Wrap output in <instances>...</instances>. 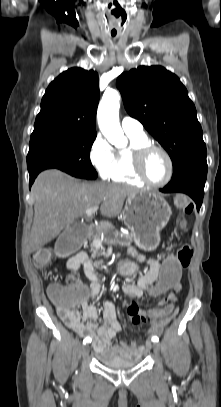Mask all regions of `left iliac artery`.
I'll use <instances>...</instances> for the list:
<instances>
[{
    "label": "left iliac artery",
    "mask_w": 221,
    "mask_h": 407,
    "mask_svg": "<svg viewBox=\"0 0 221 407\" xmlns=\"http://www.w3.org/2000/svg\"><path fill=\"white\" fill-rule=\"evenodd\" d=\"M152 341H153V342H158L159 339H158V337H153V338H152Z\"/></svg>",
    "instance_id": "1"
}]
</instances>
